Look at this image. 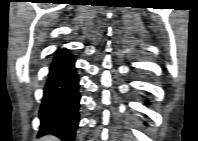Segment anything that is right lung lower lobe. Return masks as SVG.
<instances>
[{
	"label": "right lung lower lobe",
	"instance_id": "1",
	"mask_svg": "<svg viewBox=\"0 0 198 141\" xmlns=\"http://www.w3.org/2000/svg\"><path fill=\"white\" fill-rule=\"evenodd\" d=\"M79 76L67 49H57L39 111V136L52 134L73 141L79 122Z\"/></svg>",
	"mask_w": 198,
	"mask_h": 141
}]
</instances>
